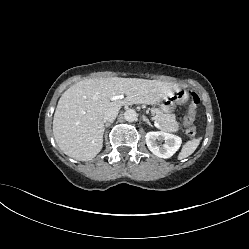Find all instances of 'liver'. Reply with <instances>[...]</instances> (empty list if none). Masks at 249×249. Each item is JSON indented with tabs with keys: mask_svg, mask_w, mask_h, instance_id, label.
Returning a JSON list of instances; mask_svg holds the SVG:
<instances>
[{
	"mask_svg": "<svg viewBox=\"0 0 249 249\" xmlns=\"http://www.w3.org/2000/svg\"><path fill=\"white\" fill-rule=\"evenodd\" d=\"M179 90L171 82L139 78H93L70 86L60 97L53 118L59 148L74 159L94 158L103 146L105 112L123 105L157 104ZM118 94L124 100L112 101Z\"/></svg>",
	"mask_w": 249,
	"mask_h": 249,
	"instance_id": "obj_1",
	"label": "liver"
}]
</instances>
